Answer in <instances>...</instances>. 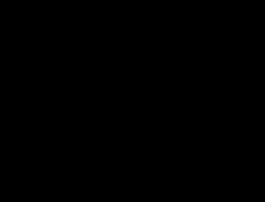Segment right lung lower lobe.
<instances>
[{"label":"right lung lower lobe","instance_id":"1","mask_svg":"<svg viewBox=\"0 0 265 202\" xmlns=\"http://www.w3.org/2000/svg\"><path fill=\"white\" fill-rule=\"evenodd\" d=\"M134 113L135 109L121 113L99 127L80 134L50 131V142L54 147L65 149L77 161L91 163L106 156L111 150L118 127Z\"/></svg>","mask_w":265,"mask_h":202}]
</instances>
